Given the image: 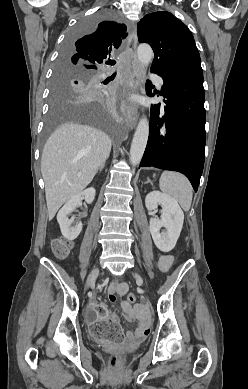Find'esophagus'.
Returning <instances> with one entry per match:
<instances>
[{
	"label": "esophagus",
	"mask_w": 248,
	"mask_h": 389,
	"mask_svg": "<svg viewBox=\"0 0 248 389\" xmlns=\"http://www.w3.org/2000/svg\"><path fill=\"white\" fill-rule=\"evenodd\" d=\"M137 32L134 27L130 28V35L127 41L126 52L131 56L132 67L134 71V76L131 83L128 86L130 91H135L139 88L142 78V70L136 58V47H137ZM126 126L128 129H133L138 121V111L137 106L135 105H126L125 106V117H124Z\"/></svg>",
	"instance_id": "1"
}]
</instances>
